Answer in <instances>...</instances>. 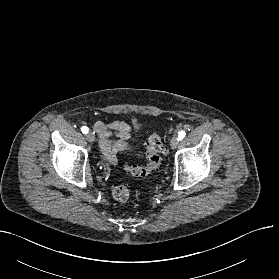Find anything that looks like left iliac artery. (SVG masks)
Wrapping results in <instances>:
<instances>
[{"label":"left iliac artery","instance_id":"1","mask_svg":"<svg viewBox=\"0 0 279 279\" xmlns=\"http://www.w3.org/2000/svg\"><path fill=\"white\" fill-rule=\"evenodd\" d=\"M185 135H186L185 131H180L178 135L179 140H182L185 137Z\"/></svg>","mask_w":279,"mask_h":279}]
</instances>
